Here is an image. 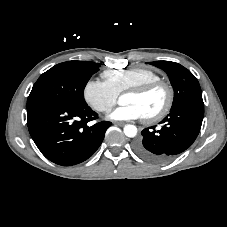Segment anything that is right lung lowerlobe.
Wrapping results in <instances>:
<instances>
[{"instance_id":"obj_1","label":"right lung lower lobe","mask_w":227,"mask_h":227,"mask_svg":"<svg viewBox=\"0 0 227 227\" xmlns=\"http://www.w3.org/2000/svg\"><path fill=\"white\" fill-rule=\"evenodd\" d=\"M98 114L87 105L43 101L27 107L30 135L50 161L71 166L88 159L101 145L111 122L88 126Z\"/></svg>"}]
</instances>
